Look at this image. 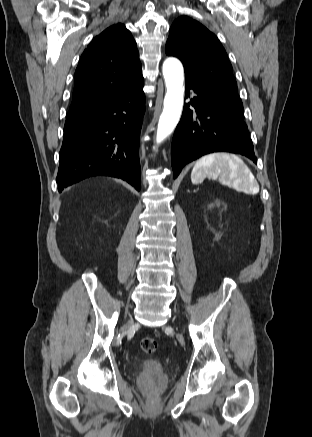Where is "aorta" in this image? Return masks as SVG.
I'll list each match as a JSON object with an SVG mask.
<instances>
[{
  "label": "aorta",
  "mask_w": 312,
  "mask_h": 437,
  "mask_svg": "<svg viewBox=\"0 0 312 437\" xmlns=\"http://www.w3.org/2000/svg\"><path fill=\"white\" fill-rule=\"evenodd\" d=\"M163 76L167 92L157 128V144L164 141L175 129L182 113L184 101V71L181 62L176 58L166 59L163 64Z\"/></svg>",
  "instance_id": "obj_1"
}]
</instances>
